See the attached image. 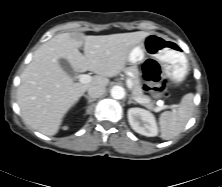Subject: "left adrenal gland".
Masks as SVG:
<instances>
[{
	"mask_svg": "<svg viewBox=\"0 0 222 187\" xmlns=\"http://www.w3.org/2000/svg\"><path fill=\"white\" fill-rule=\"evenodd\" d=\"M131 103L137 104L135 101L132 100V97H130V98H129V101H128V104H131Z\"/></svg>",
	"mask_w": 222,
	"mask_h": 187,
	"instance_id": "a2214340",
	"label": "left adrenal gland"
}]
</instances>
